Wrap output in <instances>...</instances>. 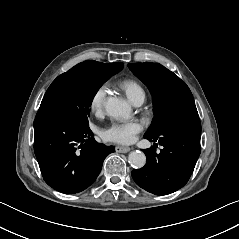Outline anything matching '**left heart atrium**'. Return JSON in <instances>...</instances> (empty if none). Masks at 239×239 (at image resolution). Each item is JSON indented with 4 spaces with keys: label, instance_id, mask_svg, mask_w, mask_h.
Wrapping results in <instances>:
<instances>
[{
    "label": "left heart atrium",
    "instance_id": "1",
    "mask_svg": "<svg viewBox=\"0 0 239 239\" xmlns=\"http://www.w3.org/2000/svg\"><path fill=\"white\" fill-rule=\"evenodd\" d=\"M143 128L144 123L138 118L128 121L114 120L103 129L102 137L112 142L132 144Z\"/></svg>",
    "mask_w": 239,
    "mask_h": 239
}]
</instances>
